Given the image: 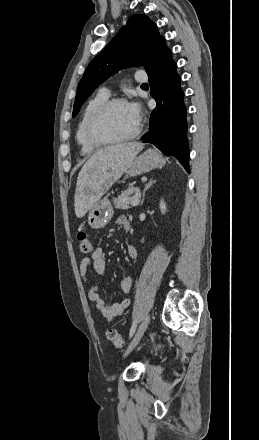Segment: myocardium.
<instances>
[{"instance_id": "1", "label": "myocardium", "mask_w": 259, "mask_h": 440, "mask_svg": "<svg viewBox=\"0 0 259 440\" xmlns=\"http://www.w3.org/2000/svg\"><path fill=\"white\" fill-rule=\"evenodd\" d=\"M117 104H128L127 100L115 97L100 104L90 115L85 126V137L89 144L96 147L116 145L128 142L136 138L141 132V124L138 123L135 130L127 136L121 138H104L98 135L97 127L104 119L106 114Z\"/></svg>"}]
</instances>
